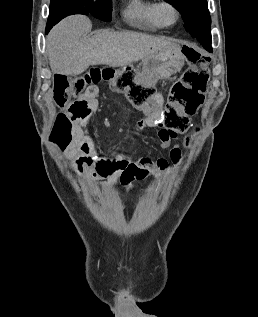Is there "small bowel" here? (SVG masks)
I'll use <instances>...</instances> for the list:
<instances>
[{"mask_svg": "<svg viewBox=\"0 0 258 317\" xmlns=\"http://www.w3.org/2000/svg\"><path fill=\"white\" fill-rule=\"evenodd\" d=\"M96 88L90 87L85 94L72 102L70 111L75 118L76 127L72 143L67 147L66 154L74 159L76 171L88 179H104L105 182L93 186L94 190L110 189L117 184L122 185L127 191L132 188L134 180H141L148 176L166 178L171 170L169 162L164 158L152 160L148 156L131 160L123 154L105 157L99 154V142L86 129L91 117L98 111ZM150 122L139 121L133 135L143 134ZM171 137L160 129L155 139V144L160 148H168ZM189 139L184 143L188 146ZM170 158L174 164L182 159V147L174 145L170 150Z\"/></svg>", "mask_w": 258, "mask_h": 317, "instance_id": "c3829d8e", "label": "small bowel"}]
</instances>
